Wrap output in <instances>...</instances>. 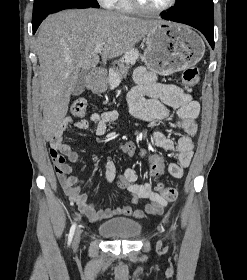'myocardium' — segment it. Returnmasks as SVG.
<instances>
[{"mask_svg":"<svg viewBox=\"0 0 247 280\" xmlns=\"http://www.w3.org/2000/svg\"><path fill=\"white\" fill-rule=\"evenodd\" d=\"M129 2L134 9H136L142 13L157 15V14H162V13L167 12L170 9H172L176 5L177 0H169V2L166 5L159 7V8L146 7L140 2V0H129Z\"/></svg>","mask_w":247,"mask_h":280,"instance_id":"1","label":"myocardium"}]
</instances>
